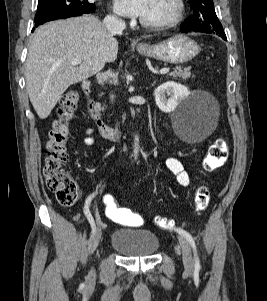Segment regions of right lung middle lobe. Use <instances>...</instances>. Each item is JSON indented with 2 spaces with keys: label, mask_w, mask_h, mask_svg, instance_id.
I'll return each instance as SVG.
<instances>
[{
  "label": "right lung middle lobe",
  "mask_w": 267,
  "mask_h": 301,
  "mask_svg": "<svg viewBox=\"0 0 267 301\" xmlns=\"http://www.w3.org/2000/svg\"><path fill=\"white\" fill-rule=\"evenodd\" d=\"M92 0H38L37 13L34 22L61 13H91L95 11Z\"/></svg>",
  "instance_id": "right-lung-middle-lobe-1"
}]
</instances>
